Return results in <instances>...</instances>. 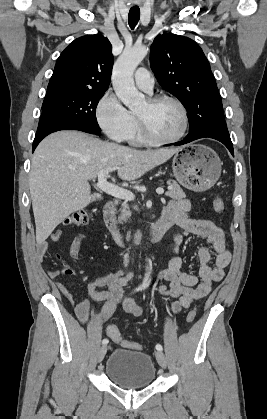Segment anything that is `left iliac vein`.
Returning <instances> with one entry per match:
<instances>
[{"label":"left iliac vein","instance_id":"obj_1","mask_svg":"<svg viewBox=\"0 0 267 419\" xmlns=\"http://www.w3.org/2000/svg\"><path fill=\"white\" fill-rule=\"evenodd\" d=\"M156 359H157V361H158V363L161 367L166 368L167 360H166V357H165V355L162 351H157L156 352Z\"/></svg>","mask_w":267,"mask_h":419}]
</instances>
